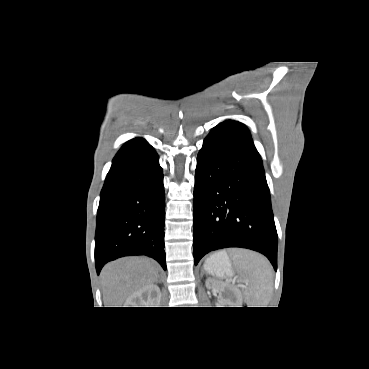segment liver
Masks as SVG:
<instances>
[{
	"label": "liver",
	"mask_w": 369,
	"mask_h": 369,
	"mask_svg": "<svg viewBox=\"0 0 369 369\" xmlns=\"http://www.w3.org/2000/svg\"><path fill=\"white\" fill-rule=\"evenodd\" d=\"M159 267L149 258L126 257L106 264L101 272L105 307H120L134 292L158 280Z\"/></svg>",
	"instance_id": "6515ba94"
}]
</instances>
